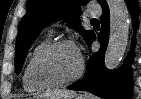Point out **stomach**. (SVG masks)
I'll list each match as a JSON object with an SVG mask.
<instances>
[{
  "instance_id": "1",
  "label": "stomach",
  "mask_w": 141,
  "mask_h": 99,
  "mask_svg": "<svg viewBox=\"0 0 141 99\" xmlns=\"http://www.w3.org/2000/svg\"><path fill=\"white\" fill-rule=\"evenodd\" d=\"M34 99H41V98H38V97H37V98H34ZM76 99H86V98H85V96H82V95H81V96H78Z\"/></svg>"
}]
</instances>
